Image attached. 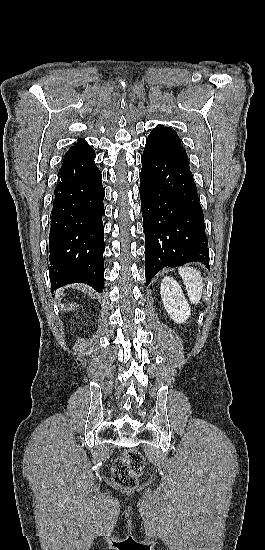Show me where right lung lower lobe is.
Wrapping results in <instances>:
<instances>
[{"instance_id": "right-lung-lower-lobe-1", "label": "right lung lower lobe", "mask_w": 265, "mask_h": 550, "mask_svg": "<svg viewBox=\"0 0 265 550\" xmlns=\"http://www.w3.org/2000/svg\"><path fill=\"white\" fill-rule=\"evenodd\" d=\"M92 148L65 155L54 192L49 272L54 288L86 283L104 286V189Z\"/></svg>"}]
</instances>
